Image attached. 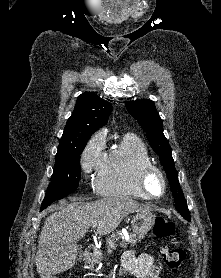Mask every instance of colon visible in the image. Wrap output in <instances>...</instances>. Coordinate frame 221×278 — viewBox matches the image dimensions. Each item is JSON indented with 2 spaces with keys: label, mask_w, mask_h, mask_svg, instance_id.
<instances>
[{
  "label": "colon",
  "mask_w": 221,
  "mask_h": 278,
  "mask_svg": "<svg viewBox=\"0 0 221 278\" xmlns=\"http://www.w3.org/2000/svg\"><path fill=\"white\" fill-rule=\"evenodd\" d=\"M175 232L174 223L164 217H157L154 225V235L158 238H169ZM160 253L168 269L177 271L185 260V251L179 247H162ZM55 278V277H53Z\"/></svg>",
  "instance_id": "obj_1"
}]
</instances>
